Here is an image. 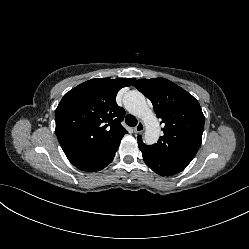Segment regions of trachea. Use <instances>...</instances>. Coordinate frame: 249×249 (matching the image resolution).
Segmentation results:
<instances>
[{
	"mask_svg": "<svg viewBox=\"0 0 249 249\" xmlns=\"http://www.w3.org/2000/svg\"><path fill=\"white\" fill-rule=\"evenodd\" d=\"M125 122H126V124H127L128 126H130V127H134V126L137 125V119H136L134 116L130 115V114H128V115L126 116Z\"/></svg>",
	"mask_w": 249,
	"mask_h": 249,
	"instance_id": "3493384b",
	"label": "trachea"
}]
</instances>
